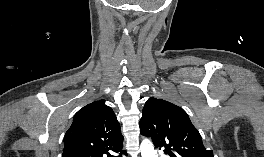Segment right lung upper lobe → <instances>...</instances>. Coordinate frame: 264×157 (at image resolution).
Here are the masks:
<instances>
[{
  "label": "right lung upper lobe",
  "mask_w": 264,
  "mask_h": 157,
  "mask_svg": "<svg viewBox=\"0 0 264 157\" xmlns=\"http://www.w3.org/2000/svg\"><path fill=\"white\" fill-rule=\"evenodd\" d=\"M123 136L113 110L104 100L81 108L64 136L62 157H110L122 149Z\"/></svg>",
  "instance_id": "cb5924a9"
}]
</instances>
